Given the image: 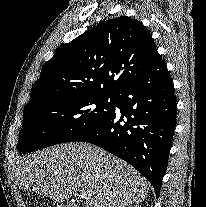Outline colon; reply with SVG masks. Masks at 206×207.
Listing matches in <instances>:
<instances>
[{"instance_id": "1", "label": "colon", "mask_w": 206, "mask_h": 207, "mask_svg": "<svg viewBox=\"0 0 206 207\" xmlns=\"http://www.w3.org/2000/svg\"><path fill=\"white\" fill-rule=\"evenodd\" d=\"M51 207H78V206L72 204H55L52 205Z\"/></svg>"}]
</instances>
